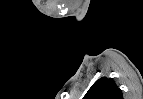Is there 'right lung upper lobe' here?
<instances>
[{
    "mask_svg": "<svg viewBox=\"0 0 143 99\" xmlns=\"http://www.w3.org/2000/svg\"><path fill=\"white\" fill-rule=\"evenodd\" d=\"M83 99H123V96L112 78L102 77L91 86Z\"/></svg>",
    "mask_w": 143,
    "mask_h": 99,
    "instance_id": "cb5924a9",
    "label": "right lung upper lobe"
}]
</instances>
